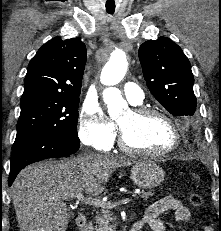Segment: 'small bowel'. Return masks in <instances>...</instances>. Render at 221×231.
I'll list each match as a JSON object with an SVG mask.
<instances>
[{
  "instance_id": "small-bowel-1",
  "label": "small bowel",
  "mask_w": 221,
  "mask_h": 231,
  "mask_svg": "<svg viewBox=\"0 0 221 231\" xmlns=\"http://www.w3.org/2000/svg\"><path fill=\"white\" fill-rule=\"evenodd\" d=\"M167 211H174L177 221L189 224L192 221V213L179 199L173 196H166L152 203L142 220L138 221L140 230L148 226L152 231H175L169 229L161 219V215ZM203 231H213L206 227Z\"/></svg>"
}]
</instances>
